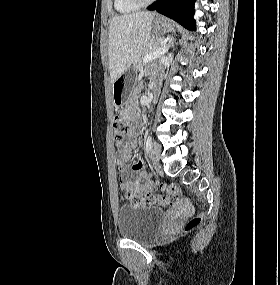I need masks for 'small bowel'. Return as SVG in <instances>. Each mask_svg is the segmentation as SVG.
Instances as JSON below:
<instances>
[{
    "mask_svg": "<svg viewBox=\"0 0 280 285\" xmlns=\"http://www.w3.org/2000/svg\"><path fill=\"white\" fill-rule=\"evenodd\" d=\"M123 114L134 118L133 114H129V111L125 109ZM137 147V141L132 139L118 149L119 157L116 160L117 167L120 171V184L125 191H135L138 193H148L154 189L153 183L149 180L148 174L144 169V160L142 157H138L130 165V171L135 175L133 179H129L127 176L128 165L131 161V151Z\"/></svg>",
    "mask_w": 280,
    "mask_h": 285,
    "instance_id": "small-bowel-1",
    "label": "small bowel"
}]
</instances>
